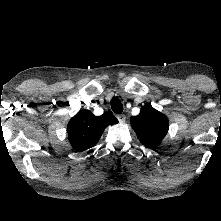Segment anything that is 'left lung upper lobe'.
<instances>
[{"mask_svg":"<svg viewBox=\"0 0 221 221\" xmlns=\"http://www.w3.org/2000/svg\"><path fill=\"white\" fill-rule=\"evenodd\" d=\"M130 124L140 142L156 147L168 132V118L151 106H143L139 115L130 118Z\"/></svg>","mask_w":221,"mask_h":221,"instance_id":"5c2ea615","label":"left lung upper lobe"}]
</instances>
